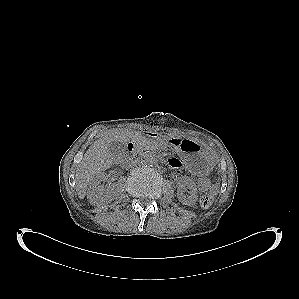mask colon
Here are the masks:
<instances>
[{
    "mask_svg": "<svg viewBox=\"0 0 299 299\" xmlns=\"http://www.w3.org/2000/svg\"><path fill=\"white\" fill-rule=\"evenodd\" d=\"M198 185L203 190H209L200 198V205L204 208H208L212 204L214 198V191L210 189L211 181L207 177H201L198 181Z\"/></svg>",
    "mask_w": 299,
    "mask_h": 299,
    "instance_id": "colon-1",
    "label": "colon"
}]
</instances>
